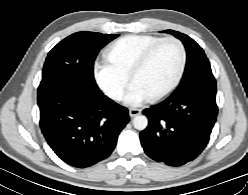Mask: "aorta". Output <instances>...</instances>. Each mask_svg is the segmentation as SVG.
I'll use <instances>...</instances> for the list:
<instances>
[{"instance_id": "1", "label": "aorta", "mask_w": 248, "mask_h": 195, "mask_svg": "<svg viewBox=\"0 0 248 195\" xmlns=\"http://www.w3.org/2000/svg\"><path fill=\"white\" fill-rule=\"evenodd\" d=\"M133 125L138 130H143L147 126V119L144 116H136Z\"/></svg>"}]
</instances>
